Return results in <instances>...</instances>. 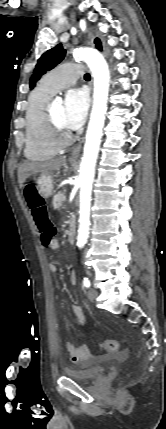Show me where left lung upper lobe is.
<instances>
[{"label": "left lung upper lobe", "instance_id": "obj_1", "mask_svg": "<svg viewBox=\"0 0 166 429\" xmlns=\"http://www.w3.org/2000/svg\"><path fill=\"white\" fill-rule=\"evenodd\" d=\"M94 43L96 48L101 51L102 46L100 40L96 38ZM65 55L66 50L63 49L62 44H58L54 48L46 51L38 59L36 67L30 78V88H33L36 85L37 81L41 78L42 75L59 64L64 59Z\"/></svg>", "mask_w": 166, "mask_h": 429}]
</instances>
